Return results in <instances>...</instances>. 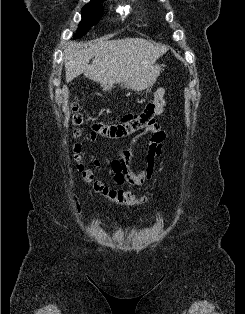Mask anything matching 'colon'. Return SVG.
Masks as SVG:
<instances>
[{"instance_id": "1", "label": "colon", "mask_w": 245, "mask_h": 314, "mask_svg": "<svg viewBox=\"0 0 245 314\" xmlns=\"http://www.w3.org/2000/svg\"><path fill=\"white\" fill-rule=\"evenodd\" d=\"M72 117V135L74 138H78L81 135L80 126L83 123V115L79 111V106L76 103L71 105ZM81 145L74 143L72 145V158L79 172L81 179L84 183L90 185L94 192L100 196H103L111 202L124 205L135 206L145 204L149 201L147 196H137L131 191L113 189L103 184L101 181L95 180L92 172L86 169L81 161Z\"/></svg>"}]
</instances>
